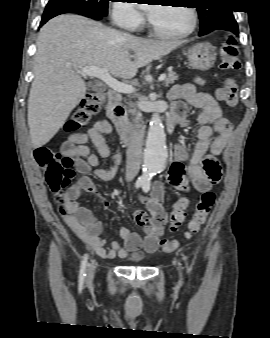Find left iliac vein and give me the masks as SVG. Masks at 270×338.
<instances>
[{"mask_svg": "<svg viewBox=\"0 0 270 338\" xmlns=\"http://www.w3.org/2000/svg\"><path fill=\"white\" fill-rule=\"evenodd\" d=\"M178 270H179V272H180L179 274H180V277H181V276H182V275H181V271H180L181 269H180V268H178Z\"/></svg>", "mask_w": 270, "mask_h": 338, "instance_id": "obj_1", "label": "left iliac vein"}]
</instances>
